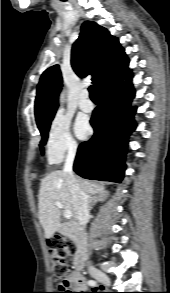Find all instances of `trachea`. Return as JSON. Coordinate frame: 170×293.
Returning <instances> with one entry per match:
<instances>
[{
  "instance_id": "obj_1",
  "label": "trachea",
  "mask_w": 170,
  "mask_h": 293,
  "mask_svg": "<svg viewBox=\"0 0 170 293\" xmlns=\"http://www.w3.org/2000/svg\"><path fill=\"white\" fill-rule=\"evenodd\" d=\"M88 90L90 93V98H96V92H95L94 86H89Z\"/></svg>"
}]
</instances>
